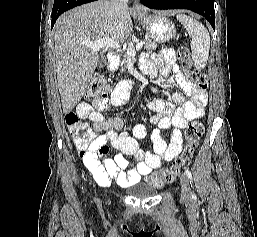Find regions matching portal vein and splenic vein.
I'll list each match as a JSON object with an SVG mask.
<instances>
[{
    "instance_id": "portal-vein-and-splenic-vein-1",
    "label": "portal vein and splenic vein",
    "mask_w": 257,
    "mask_h": 237,
    "mask_svg": "<svg viewBox=\"0 0 257 237\" xmlns=\"http://www.w3.org/2000/svg\"><path fill=\"white\" fill-rule=\"evenodd\" d=\"M86 47H89L93 50H100L102 48H111V49H119L120 48V44L109 39V38H104V39H99L97 41H85L84 42ZM144 42L141 41L139 43H137V45L135 47H128L126 52L129 56H135L136 52L139 51L142 46H143Z\"/></svg>"
}]
</instances>
